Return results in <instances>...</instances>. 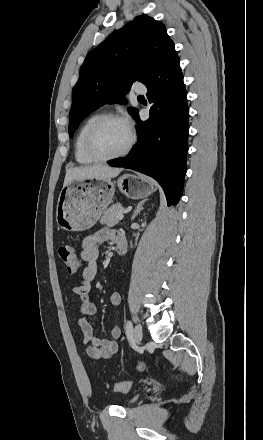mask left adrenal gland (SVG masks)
I'll return each instance as SVG.
<instances>
[{
    "label": "left adrenal gland",
    "instance_id": "a2214340",
    "mask_svg": "<svg viewBox=\"0 0 263 440\" xmlns=\"http://www.w3.org/2000/svg\"><path fill=\"white\" fill-rule=\"evenodd\" d=\"M146 201H148V199H144L137 204V207L134 210L133 215H132V220H134L136 218V216L144 209L143 205L145 204Z\"/></svg>",
    "mask_w": 263,
    "mask_h": 440
}]
</instances>
